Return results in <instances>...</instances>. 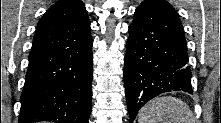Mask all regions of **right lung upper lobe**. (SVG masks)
Masks as SVG:
<instances>
[{"instance_id":"obj_1","label":"right lung upper lobe","mask_w":221,"mask_h":123,"mask_svg":"<svg viewBox=\"0 0 221 123\" xmlns=\"http://www.w3.org/2000/svg\"><path fill=\"white\" fill-rule=\"evenodd\" d=\"M89 30L90 21L82 1L61 0L53 4L38 22L32 48L78 40Z\"/></svg>"}]
</instances>
